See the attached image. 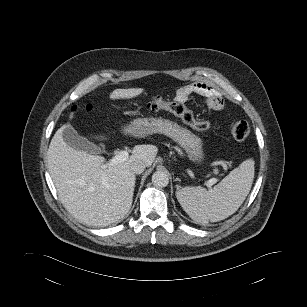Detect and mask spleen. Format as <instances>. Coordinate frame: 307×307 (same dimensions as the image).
<instances>
[{
	"instance_id": "3e777b00",
	"label": "spleen",
	"mask_w": 307,
	"mask_h": 307,
	"mask_svg": "<svg viewBox=\"0 0 307 307\" xmlns=\"http://www.w3.org/2000/svg\"><path fill=\"white\" fill-rule=\"evenodd\" d=\"M254 161L247 159L212 189L185 187L176 192L184 211L197 223L217 222L235 213L254 179Z\"/></svg>"
}]
</instances>
